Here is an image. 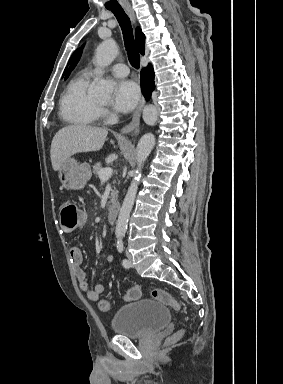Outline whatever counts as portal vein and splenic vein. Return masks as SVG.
I'll return each instance as SVG.
<instances>
[{"label": "portal vein and splenic vein", "instance_id": "1", "mask_svg": "<svg viewBox=\"0 0 283 384\" xmlns=\"http://www.w3.org/2000/svg\"><path fill=\"white\" fill-rule=\"evenodd\" d=\"M112 174L113 170H111V168H104V170H101V172H99V178L100 180H102V182H107V180L111 178Z\"/></svg>", "mask_w": 283, "mask_h": 384}]
</instances>
